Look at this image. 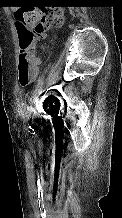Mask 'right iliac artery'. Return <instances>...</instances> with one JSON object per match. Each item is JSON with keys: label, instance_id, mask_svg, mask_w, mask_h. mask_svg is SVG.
<instances>
[{"label": "right iliac artery", "instance_id": "obj_1", "mask_svg": "<svg viewBox=\"0 0 122 218\" xmlns=\"http://www.w3.org/2000/svg\"><path fill=\"white\" fill-rule=\"evenodd\" d=\"M24 124H25L26 129H30L31 128L30 126H28L26 118L24 119Z\"/></svg>", "mask_w": 122, "mask_h": 218}]
</instances>
